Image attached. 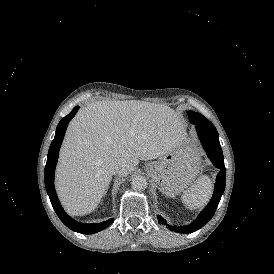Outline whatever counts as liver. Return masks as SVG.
<instances>
[{
	"label": "liver",
	"mask_w": 274,
	"mask_h": 274,
	"mask_svg": "<svg viewBox=\"0 0 274 274\" xmlns=\"http://www.w3.org/2000/svg\"><path fill=\"white\" fill-rule=\"evenodd\" d=\"M177 134V137H171ZM185 134L170 107L140 100L96 101L69 123L56 168V190L72 216L92 212L112 176L165 154Z\"/></svg>",
	"instance_id": "obj_1"
}]
</instances>
